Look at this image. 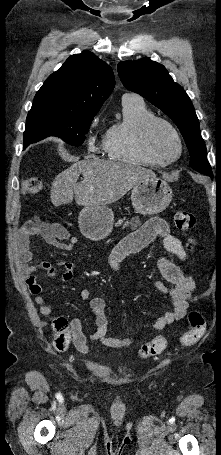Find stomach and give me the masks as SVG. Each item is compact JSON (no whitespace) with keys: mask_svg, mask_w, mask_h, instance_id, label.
I'll list each match as a JSON object with an SVG mask.
<instances>
[{"mask_svg":"<svg viewBox=\"0 0 221 455\" xmlns=\"http://www.w3.org/2000/svg\"><path fill=\"white\" fill-rule=\"evenodd\" d=\"M172 197V189L168 183L156 176L140 181L131 192L133 208L143 215L162 212L168 207ZM113 221V211L106 205L84 207L78 217L81 233L92 241H100L109 236Z\"/></svg>","mask_w":221,"mask_h":455,"instance_id":"0dacf381","label":"stomach"}]
</instances>
